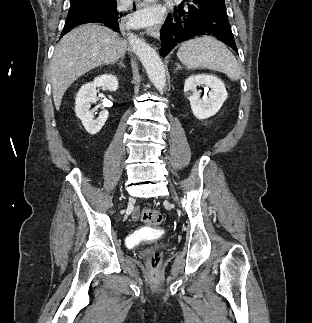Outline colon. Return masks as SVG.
<instances>
[{"instance_id": "colon-1", "label": "colon", "mask_w": 312, "mask_h": 323, "mask_svg": "<svg viewBox=\"0 0 312 323\" xmlns=\"http://www.w3.org/2000/svg\"><path fill=\"white\" fill-rule=\"evenodd\" d=\"M141 219L145 223H149V224H152V225H159L163 221L164 216L158 210L151 209L149 207H143L141 209ZM158 259H159V253L154 252L151 255V263H150V268L151 269H158L159 268Z\"/></svg>"}]
</instances>
